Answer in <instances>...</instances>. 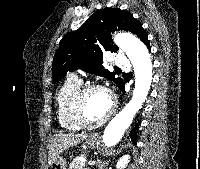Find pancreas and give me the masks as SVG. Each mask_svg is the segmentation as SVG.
<instances>
[{"mask_svg": "<svg viewBox=\"0 0 200 169\" xmlns=\"http://www.w3.org/2000/svg\"><path fill=\"white\" fill-rule=\"evenodd\" d=\"M69 169H90L86 166L85 162L80 161L78 159H74L71 164Z\"/></svg>", "mask_w": 200, "mask_h": 169, "instance_id": "cf45deb5", "label": "pancreas"}]
</instances>
